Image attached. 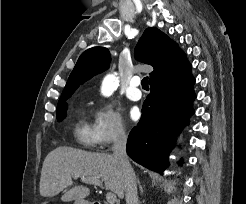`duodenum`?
<instances>
[{"label": "duodenum", "mask_w": 246, "mask_h": 204, "mask_svg": "<svg viewBox=\"0 0 246 204\" xmlns=\"http://www.w3.org/2000/svg\"><path fill=\"white\" fill-rule=\"evenodd\" d=\"M92 204H101L100 202H93Z\"/></svg>", "instance_id": "410a0bca"}]
</instances>
